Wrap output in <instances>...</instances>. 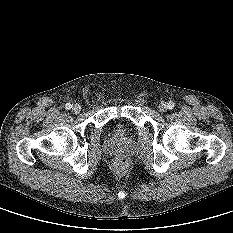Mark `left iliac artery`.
<instances>
[{
    "mask_svg": "<svg viewBox=\"0 0 233 233\" xmlns=\"http://www.w3.org/2000/svg\"><path fill=\"white\" fill-rule=\"evenodd\" d=\"M167 107H168L169 109H173V108L175 107V103H174L173 101H169V102L167 103Z\"/></svg>",
    "mask_w": 233,
    "mask_h": 233,
    "instance_id": "1",
    "label": "left iliac artery"
}]
</instances>
